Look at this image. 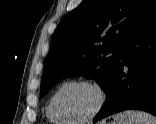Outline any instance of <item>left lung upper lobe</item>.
<instances>
[{
    "instance_id": "obj_1",
    "label": "left lung upper lobe",
    "mask_w": 156,
    "mask_h": 124,
    "mask_svg": "<svg viewBox=\"0 0 156 124\" xmlns=\"http://www.w3.org/2000/svg\"><path fill=\"white\" fill-rule=\"evenodd\" d=\"M155 2L83 0L63 17L52 36L40 97L63 77L77 75L96 80L105 92L125 44Z\"/></svg>"
}]
</instances>
